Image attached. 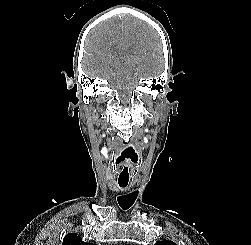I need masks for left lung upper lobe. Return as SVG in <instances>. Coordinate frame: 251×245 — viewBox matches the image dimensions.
Here are the masks:
<instances>
[{"label": "left lung upper lobe", "instance_id": "1", "mask_svg": "<svg viewBox=\"0 0 251 245\" xmlns=\"http://www.w3.org/2000/svg\"><path fill=\"white\" fill-rule=\"evenodd\" d=\"M155 245H176V244L174 242L164 240V241H160V242L156 243Z\"/></svg>", "mask_w": 251, "mask_h": 245}]
</instances>
